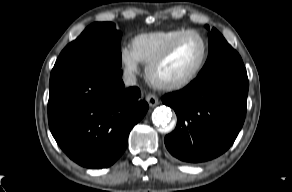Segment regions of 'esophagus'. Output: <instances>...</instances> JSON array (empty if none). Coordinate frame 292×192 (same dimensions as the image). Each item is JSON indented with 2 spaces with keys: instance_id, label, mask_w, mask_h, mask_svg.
<instances>
[{
  "instance_id": "obj_1",
  "label": "esophagus",
  "mask_w": 292,
  "mask_h": 192,
  "mask_svg": "<svg viewBox=\"0 0 292 192\" xmlns=\"http://www.w3.org/2000/svg\"><path fill=\"white\" fill-rule=\"evenodd\" d=\"M146 100H147L150 107H155L156 105L159 104V99L154 94H148L146 97Z\"/></svg>"
}]
</instances>
